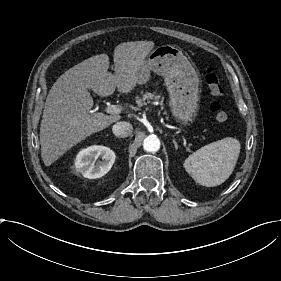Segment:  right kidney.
I'll return each instance as SVG.
<instances>
[{
    "instance_id": "1",
    "label": "right kidney",
    "mask_w": 281,
    "mask_h": 281,
    "mask_svg": "<svg viewBox=\"0 0 281 281\" xmlns=\"http://www.w3.org/2000/svg\"><path fill=\"white\" fill-rule=\"evenodd\" d=\"M102 161L96 162L98 158ZM115 153L105 146L93 145L78 152L74 162L77 173L89 179L104 176L115 162Z\"/></svg>"
}]
</instances>
